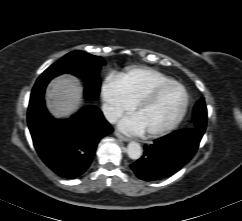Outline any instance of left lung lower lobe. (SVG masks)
<instances>
[{"label":"left lung lower lobe","instance_id":"0a47b994","mask_svg":"<svg viewBox=\"0 0 242 221\" xmlns=\"http://www.w3.org/2000/svg\"><path fill=\"white\" fill-rule=\"evenodd\" d=\"M204 130L188 128L175 131L144 146V154L131 169L145 181H155L181 169L196 153Z\"/></svg>","mask_w":242,"mask_h":221}]
</instances>
